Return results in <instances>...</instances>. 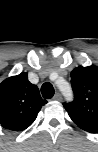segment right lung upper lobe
I'll return each instance as SVG.
<instances>
[{"instance_id":"cb5924a9","label":"right lung upper lobe","mask_w":98,"mask_h":152,"mask_svg":"<svg viewBox=\"0 0 98 152\" xmlns=\"http://www.w3.org/2000/svg\"><path fill=\"white\" fill-rule=\"evenodd\" d=\"M46 103L27 73L9 77L0 84V124L11 131H23Z\"/></svg>"}]
</instances>
